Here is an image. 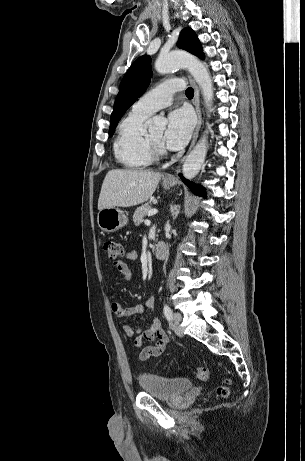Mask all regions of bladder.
<instances>
[{
    "label": "bladder",
    "instance_id": "1",
    "mask_svg": "<svg viewBox=\"0 0 305 461\" xmlns=\"http://www.w3.org/2000/svg\"><path fill=\"white\" fill-rule=\"evenodd\" d=\"M138 384L142 392L167 401L177 400L192 388V382L186 378H170L157 374H141Z\"/></svg>",
    "mask_w": 305,
    "mask_h": 461
}]
</instances>
